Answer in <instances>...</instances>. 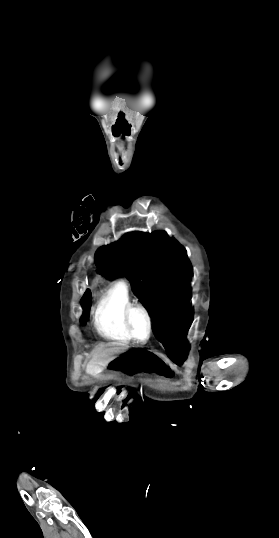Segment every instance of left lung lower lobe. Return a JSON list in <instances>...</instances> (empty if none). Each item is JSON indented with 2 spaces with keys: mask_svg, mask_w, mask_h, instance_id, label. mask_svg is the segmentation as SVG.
<instances>
[{
  "mask_svg": "<svg viewBox=\"0 0 279 538\" xmlns=\"http://www.w3.org/2000/svg\"><path fill=\"white\" fill-rule=\"evenodd\" d=\"M155 336L168 351V356L173 362L181 365L185 361L189 350L185 334L168 331L156 333Z\"/></svg>",
  "mask_w": 279,
  "mask_h": 538,
  "instance_id": "obj_1",
  "label": "left lung lower lobe"
}]
</instances>
